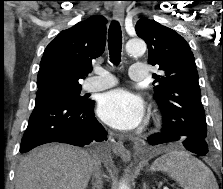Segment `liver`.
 <instances>
[{
  "label": "liver",
  "mask_w": 223,
  "mask_h": 189,
  "mask_svg": "<svg viewBox=\"0 0 223 189\" xmlns=\"http://www.w3.org/2000/svg\"><path fill=\"white\" fill-rule=\"evenodd\" d=\"M94 164V158L83 149L44 145L21 160L15 189H86Z\"/></svg>",
  "instance_id": "6515ba94"
}]
</instances>
